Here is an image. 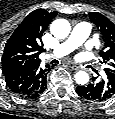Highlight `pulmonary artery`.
<instances>
[{
	"label": "pulmonary artery",
	"instance_id": "obj_1",
	"mask_svg": "<svg viewBox=\"0 0 115 119\" xmlns=\"http://www.w3.org/2000/svg\"><path fill=\"white\" fill-rule=\"evenodd\" d=\"M90 31V24L85 22L78 23L74 27L71 35L56 47V49L54 50L55 56H65L74 51L75 49L81 47L88 38Z\"/></svg>",
	"mask_w": 115,
	"mask_h": 119
}]
</instances>
